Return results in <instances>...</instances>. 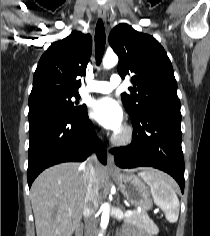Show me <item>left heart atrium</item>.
I'll return each instance as SVG.
<instances>
[{"label": "left heart atrium", "mask_w": 210, "mask_h": 236, "mask_svg": "<svg viewBox=\"0 0 210 236\" xmlns=\"http://www.w3.org/2000/svg\"><path fill=\"white\" fill-rule=\"evenodd\" d=\"M91 115L103 127L116 133L123 127V111L121 107L109 97L96 101L92 106Z\"/></svg>", "instance_id": "1"}]
</instances>
